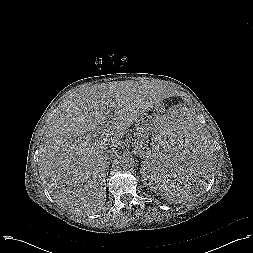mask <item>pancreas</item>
I'll return each mask as SVG.
<instances>
[{
  "instance_id": "obj_1",
  "label": "pancreas",
  "mask_w": 253,
  "mask_h": 253,
  "mask_svg": "<svg viewBox=\"0 0 253 253\" xmlns=\"http://www.w3.org/2000/svg\"><path fill=\"white\" fill-rule=\"evenodd\" d=\"M147 134H148V131H147L145 126H142V127L138 128V139H139V141H143L146 138Z\"/></svg>"
}]
</instances>
